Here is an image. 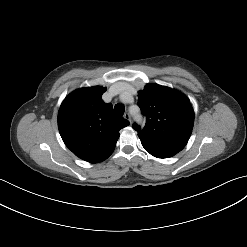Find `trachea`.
<instances>
[{"label": "trachea", "instance_id": "3493384b", "mask_svg": "<svg viewBox=\"0 0 247 247\" xmlns=\"http://www.w3.org/2000/svg\"><path fill=\"white\" fill-rule=\"evenodd\" d=\"M114 111L117 116L121 117L124 114L125 107L122 104H116L114 107Z\"/></svg>", "mask_w": 247, "mask_h": 247}]
</instances>
